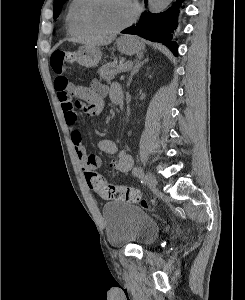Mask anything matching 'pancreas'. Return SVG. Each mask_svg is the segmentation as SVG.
<instances>
[{
    "mask_svg": "<svg viewBox=\"0 0 245 300\" xmlns=\"http://www.w3.org/2000/svg\"><path fill=\"white\" fill-rule=\"evenodd\" d=\"M126 63H128V62H126ZM115 65H116V62H111V63H107V64L103 65L102 67H100L98 70L100 79L106 80V81H111L117 74L118 68H116Z\"/></svg>",
    "mask_w": 245,
    "mask_h": 300,
    "instance_id": "1",
    "label": "pancreas"
}]
</instances>
